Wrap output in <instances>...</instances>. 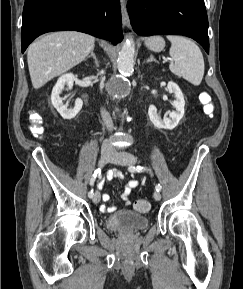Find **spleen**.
Wrapping results in <instances>:
<instances>
[{
	"label": "spleen",
	"mask_w": 243,
	"mask_h": 289,
	"mask_svg": "<svg viewBox=\"0 0 243 289\" xmlns=\"http://www.w3.org/2000/svg\"><path fill=\"white\" fill-rule=\"evenodd\" d=\"M171 42L169 51L173 62L170 71L193 85H199L204 76V59L199 47L183 36L168 35Z\"/></svg>",
	"instance_id": "1"
}]
</instances>
